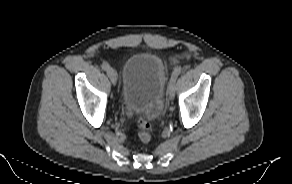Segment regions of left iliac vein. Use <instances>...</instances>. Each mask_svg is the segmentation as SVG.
I'll use <instances>...</instances> for the list:
<instances>
[{
  "instance_id": "4c4485c4",
  "label": "left iliac vein",
  "mask_w": 292,
  "mask_h": 184,
  "mask_svg": "<svg viewBox=\"0 0 292 184\" xmlns=\"http://www.w3.org/2000/svg\"><path fill=\"white\" fill-rule=\"evenodd\" d=\"M167 95L170 101L175 97V82H170L167 88Z\"/></svg>"
}]
</instances>
